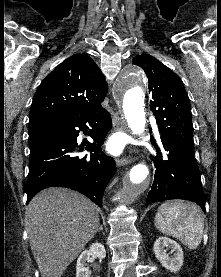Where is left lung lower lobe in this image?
Masks as SVG:
<instances>
[{
  "label": "left lung lower lobe",
  "instance_id": "obj_1",
  "mask_svg": "<svg viewBox=\"0 0 221 277\" xmlns=\"http://www.w3.org/2000/svg\"><path fill=\"white\" fill-rule=\"evenodd\" d=\"M160 138L163 153L155 145L158 155L151 156V159L154 160L156 170L146 205L154 201L186 199L196 202L205 211L200 171L194 152L167 137Z\"/></svg>",
  "mask_w": 221,
  "mask_h": 277
}]
</instances>
